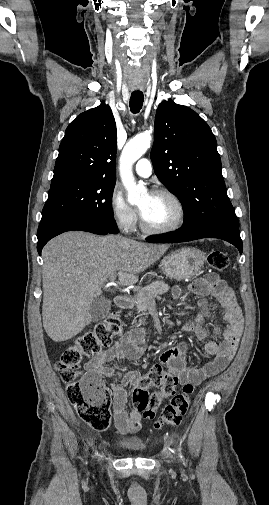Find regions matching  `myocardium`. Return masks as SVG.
<instances>
[{
  "label": "myocardium",
  "mask_w": 269,
  "mask_h": 505,
  "mask_svg": "<svg viewBox=\"0 0 269 505\" xmlns=\"http://www.w3.org/2000/svg\"><path fill=\"white\" fill-rule=\"evenodd\" d=\"M152 195H161L170 198L178 208L179 211L178 218L174 223L170 225L163 227H155L148 224L145 218L143 217L142 213L140 212V226L142 230L150 234H165L176 231L179 228H181L186 221L187 212L185 205L183 201L180 199V197L168 189H157L152 192Z\"/></svg>",
  "instance_id": "1"
}]
</instances>
